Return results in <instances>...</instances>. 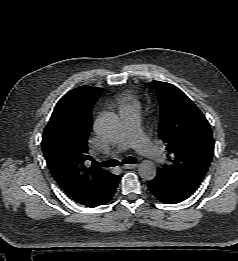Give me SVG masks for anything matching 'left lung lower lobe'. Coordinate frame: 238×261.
<instances>
[{"instance_id":"obj_1","label":"left lung lower lobe","mask_w":238,"mask_h":261,"mask_svg":"<svg viewBox=\"0 0 238 261\" xmlns=\"http://www.w3.org/2000/svg\"><path fill=\"white\" fill-rule=\"evenodd\" d=\"M148 188L154 197L170 204L185 200L195 191L162 170H158L155 178L149 181Z\"/></svg>"}]
</instances>
